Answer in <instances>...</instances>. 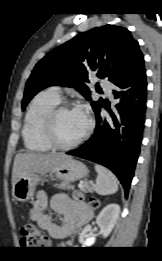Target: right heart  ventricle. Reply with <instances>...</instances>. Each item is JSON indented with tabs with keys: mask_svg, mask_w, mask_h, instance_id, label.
<instances>
[{
	"mask_svg": "<svg viewBox=\"0 0 162 261\" xmlns=\"http://www.w3.org/2000/svg\"><path fill=\"white\" fill-rule=\"evenodd\" d=\"M60 102V96L50 90L38 93L30 102L24 118L22 136L25 147L34 152L51 150L43 133V120L47 112Z\"/></svg>",
	"mask_w": 162,
	"mask_h": 261,
	"instance_id": "obj_1",
	"label": "right heart ventricle"
}]
</instances>
